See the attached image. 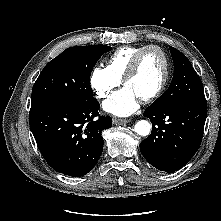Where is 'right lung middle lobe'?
Segmentation results:
<instances>
[{
	"instance_id": "1",
	"label": "right lung middle lobe",
	"mask_w": 221,
	"mask_h": 221,
	"mask_svg": "<svg viewBox=\"0 0 221 221\" xmlns=\"http://www.w3.org/2000/svg\"><path fill=\"white\" fill-rule=\"evenodd\" d=\"M111 49L105 45H91L64 50L44 67L37 78L32 89L31 107L48 102L92 99V68Z\"/></svg>"
}]
</instances>
